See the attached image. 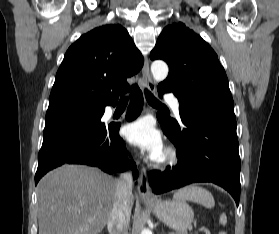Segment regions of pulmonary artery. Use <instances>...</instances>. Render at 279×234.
Listing matches in <instances>:
<instances>
[{"label":"pulmonary artery","mask_w":279,"mask_h":234,"mask_svg":"<svg viewBox=\"0 0 279 234\" xmlns=\"http://www.w3.org/2000/svg\"><path fill=\"white\" fill-rule=\"evenodd\" d=\"M166 100L168 101L171 109L174 111L176 115H179V107L180 103L176 97L171 94L165 95Z\"/></svg>","instance_id":"e3ab8cb5"}]
</instances>
